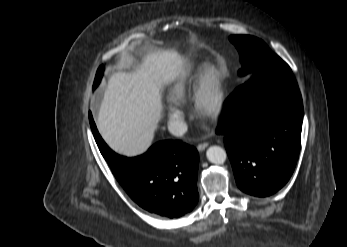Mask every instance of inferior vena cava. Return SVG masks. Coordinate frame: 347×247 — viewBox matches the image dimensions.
Here are the masks:
<instances>
[{
    "label": "inferior vena cava",
    "instance_id": "1",
    "mask_svg": "<svg viewBox=\"0 0 347 247\" xmlns=\"http://www.w3.org/2000/svg\"><path fill=\"white\" fill-rule=\"evenodd\" d=\"M187 124L181 120H170L168 130L174 136H183L187 132Z\"/></svg>",
    "mask_w": 347,
    "mask_h": 247
}]
</instances>
